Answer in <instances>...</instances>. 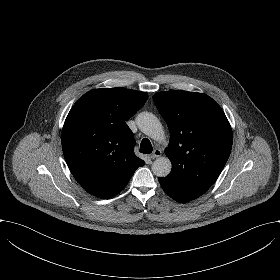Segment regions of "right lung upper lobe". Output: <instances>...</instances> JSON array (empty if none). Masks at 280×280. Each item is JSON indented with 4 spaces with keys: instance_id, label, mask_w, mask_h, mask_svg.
Returning a JSON list of instances; mask_svg holds the SVG:
<instances>
[{
    "instance_id": "1",
    "label": "right lung upper lobe",
    "mask_w": 280,
    "mask_h": 280,
    "mask_svg": "<svg viewBox=\"0 0 280 280\" xmlns=\"http://www.w3.org/2000/svg\"><path fill=\"white\" fill-rule=\"evenodd\" d=\"M148 94L126 88L94 89L71 108L62 130L65 160L89 194L111 198L124 189L145 162L133 151L135 139L126 122Z\"/></svg>"
}]
</instances>
